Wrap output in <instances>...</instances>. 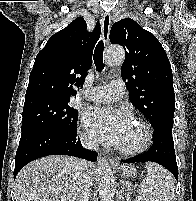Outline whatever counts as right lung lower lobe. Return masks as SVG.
<instances>
[{
  "label": "right lung lower lobe",
  "mask_w": 196,
  "mask_h": 201,
  "mask_svg": "<svg viewBox=\"0 0 196 201\" xmlns=\"http://www.w3.org/2000/svg\"><path fill=\"white\" fill-rule=\"evenodd\" d=\"M76 137L77 130L65 133L48 128H35L22 132L16 152L14 178L27 163L48 155H70L96 161L97 153L85 150Z\"/></svg>",
  "instance_id": "right-lung-lower-lobe-1"
}]
</instances>
